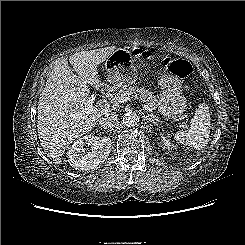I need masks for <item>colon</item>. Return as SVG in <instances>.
Masks as SVG:
<instances>
[{"mask_svg":"<svg viewBox=\"0 0 245 245\" xmlns=\"http://www.w3.org/2000/svg\"><path fill=\"white\" fill-rule=\"evenodd\" d=\"M164 66L181 79L187 78L192 73L190 63L182 59L168 57L164 60Z\"/></svg>","mask_w":245,"mask_h":245,"instance_id":"obj_1","label":"colon"}]
</instances>
